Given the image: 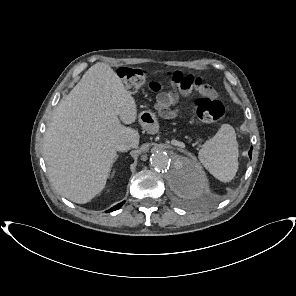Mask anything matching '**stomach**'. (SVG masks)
<instances>
[{
    "instance_id": "stomach-1",
    "label": "stomach",
    "mask_w": 296,
    "mask_h": 296,
    "mask_svg": "<svg viewBox=\"0 0 296 296\" xmlns=\"http://www.w3.org/2000/svg\"><path fill=\"white\" fill-rule=\"evenodd\" d=\"M140 123L142 124V126L151 131V132H155L158 129V123H157V119L156 116L150 112V111H143L140 116Z\"/></svg>"
}]
</instances>
